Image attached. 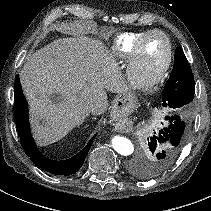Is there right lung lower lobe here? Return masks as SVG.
<instances>
[{"label":"right lung lower lobe","instance_id":"1","mask_svg":"<svg viewBox=\"0 0 211 211\" xmlns=\"http://www.w3.org/2000/svg\"><path fill=\"white\" fill-rule=\"evenodd\" d=\"M14 116L21 145L26 154L38 167L55 175H72L81 168L96 134L78 154L67 160L55 161L46 158L38 150L31 136L28 119V106L21 88L19 75L16 76L14 84Z\"/></svg>","mask_w":211,"mask_h":211}]
</instances>
